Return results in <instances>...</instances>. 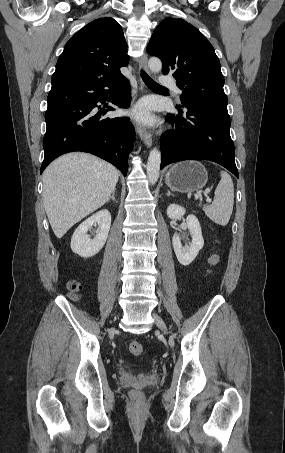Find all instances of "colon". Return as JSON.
<instances>
[{
  "label": "colon",
  "instance_id": "obj_1",
  "mask_svg": "<svg viewBox=\"0 0 285 453\" xmlns=\"http://www.w3.org/2000/svg\"><path fill=\"white\" fill-rule=\"evenodd\" d=\"M209 261L212 266H216L220 262V256L217 253L213 254L210 257ZM68 289L70 292V296L73 299H77L80 291L82 290V286L79 282L72 280L68 283ZM128 348H129L130 353L136 357H140L144 354V346L140 342L131 341L128 344ZM135 396H137L136 393H135Z\"/></svg>",
  "mask_w": 285,
  "mask_h": 453
}]
</instances>
